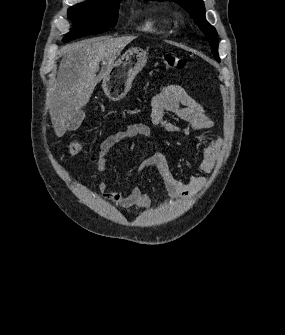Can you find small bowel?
I'll list each match as a JSON object with an SVG mask.
<instances>
[{
    "label": "small bowel",
    "mask_w": 285,
    "mask_h": 335,
    "mask_svg": "<svg viewBox=\"0 0 285 335\" xmlns=\"http://www.w3.org/2000/svg\"><path fill=\"white\" fill-rule=\"evenodd\" d=\"M166 113L173 114L182 123L177 124L168 120L165 117ZM150 118L153 125L162 132L171 135L188 136L193 132L211 128L214 124L203 105L176 84L162 86L152 98ZM136 137L152 139L153 132L142 122L131 123L122 131L107 138L102 143L98 155L92 161L98 166H104L109 161L112 148L122 141ZM133 148L134 145L132 144L127 150H132ZM220 148V140H213L203 146L199 157L195 161L198 170L206 174L210 173L214 168ZM122 153L120 152L119 154L121 155ZM146 168H155L161 175L168 192V203L174 202L179 198H191L201 190L207 180L205 176H193L187 180L177 178L170 168L166 153L160 149H156L152 155L142 159L137 166L138 171ZM98 190L105 199L123 209H128L133 205L140 209H147L151 201L149 194L138 186L126 192L123 190H110L106 183L100 182Z\"/></svg>",
    "instance_id": "obj_1"
}]
</instances>
